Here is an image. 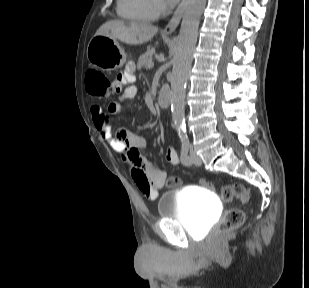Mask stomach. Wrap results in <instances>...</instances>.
<instances>
[{
	"instance_id": "1",
	"label": "stomach",
	"mask_w": 309,
	"mask_h": 288,
	"mask_svg": "<svg viewBox=\"0 0 309 288\" xmlns=\"http://www.w3.org/2000/svg\"><path fill=\"white\" fill-rule=\"evenodd\" d=\"M87 59L98 69L112 71L126 63L127 55L116 39L94 35L87 46Z\"/></svg>"
}]
</instances>
